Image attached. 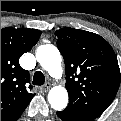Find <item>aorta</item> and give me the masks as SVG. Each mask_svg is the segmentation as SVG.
<instances>
[{"label": "aorta", "mask_w": 121, "mask_h": 121, "mask_svg": "<svg viewBox=\"0 0 121 121\" xmlns=\"http://www.w3.org/2000/svg\"><path fill=\"white\" fill-rule=\"evenodd\" d=\"M36 59L49 75L55 78L61 76V55L55 46L51 44L40 45L36 51ZM48 101L54 110H63L68 104L67 90L62 86L53 87L49 91Z\"/></svg>", "instance_id": "aorta-1"}]
</instances>
